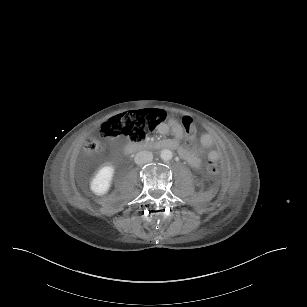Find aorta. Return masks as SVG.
<instances>
[{
  "label": "aorta",
  "instance_id": "1",
  "mask_svg": "<svg viewBox=\"0 0 307 307\" xmlns=\"http://www.w3.org/2000/svg\"><path fill=\"white\" fill-rule=\"evenodd\" d=\"M160 157L163 161H170L173 158V153L169 149H164L161 151Z\"/></svg>",
  "mask_w": 307,
  "mask_h": 307
}]
</instances>
